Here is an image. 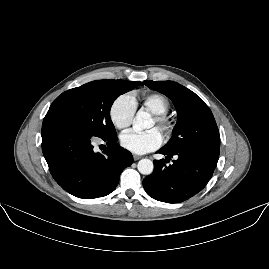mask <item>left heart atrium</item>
<instances>
[{
    "label": "left heart atrium",
    "instance_id": "1",
    "mask_svg": "<svg viewBox=\"0 0 269 269\" xmlns=\"http://www.w3.org/2000/svg\"><path fill=\"white\" fill-rule=\"evenodd\" d=\"M163 142L162 135L156 129L145 133L127 131L121 134V146L134 154H145L157 149Z\"/></svg>",
    "mask_w": 269,
    "mask_h": 269
}]
</instances>
